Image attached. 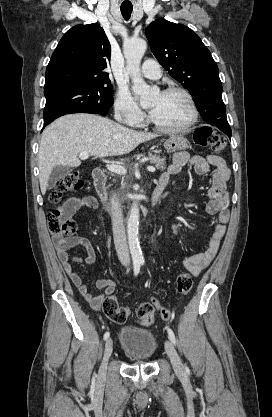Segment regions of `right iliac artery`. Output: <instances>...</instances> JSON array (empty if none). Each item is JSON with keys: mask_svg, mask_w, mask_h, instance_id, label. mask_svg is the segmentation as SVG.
<instances>
[{"mask_svg": "<svg viewBox=\"0 0 272 417\" xmlns=\"http://www.w3.org/2000/svg\"><path fill=\"white\" fill-rule=\"evenodd\" d=\"M140 271V263H134V275L137 276ZM109 332H106L104 334V340H107L109 338Z\"/></svg>", "mask_w": 272, "mask_h": 417, "instance_id": "obj_1", "label": "right iliac artery"}]
</instances>
